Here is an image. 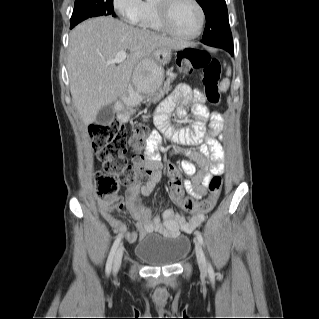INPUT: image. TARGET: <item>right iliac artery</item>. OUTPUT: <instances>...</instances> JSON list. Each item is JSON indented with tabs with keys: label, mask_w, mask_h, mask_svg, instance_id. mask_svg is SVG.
Returning <instances> with one entry per match:
<instances>
[{
	"label": "right iliac artery",
	"mask_w": 319,
	"mask_h": 319,
	"mask_svg": "<svg viewBox=\"0 0 319 319\" xmlns=\"http://www.w3.org/2000/svg\"><path fill=\"white\" fill-rule=\"evenodd\" d=\"M121 238H122V235L119 234L118 237L116 238L115 242L113 243L111 250H110V253H109V256L107 259V263H106V275H109L111 272L113 258H114L115 252L119 246Z\"/></svg>",
	"instance_id": "82829eb1"
}]
</instances>
